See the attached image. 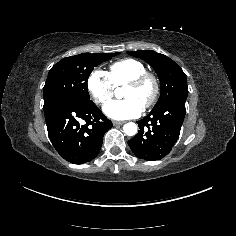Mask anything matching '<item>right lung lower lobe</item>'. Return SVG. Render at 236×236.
Returning a JSON list of instances; mask_svg holds the SVG:
<instances>
[{"label":"right lung lower lobe","mask_w":236,"mask_h":236,"mask_svg":"<svg viewBox=\"0 0 236 236\" xmlns=\"http://www.w3.org/2000/svg\"><path fill=\"white\" fill-rule=\"evenodd\" d=\"M49 138L66 161L86 163L99 153L104 134L113 126L91 101L57 99L43 106Z\"/></svg>","instance_id":"obj_1"}]
</instances>
